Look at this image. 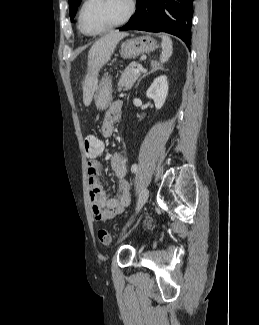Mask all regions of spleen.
I'll return each instance as SVG.
<instances>
[{
  "label": "spleen",
  "mask_w": 259,
  "mask_h": 325,
  "mask_svg": "<svg viewBox=\"0 0 259 325\" xmlns=\"http://www.w3.org/2000/svg\"><path fill=\"white\" fill-rule=\"evenodd\" d=\"M161 39H162L161 42L162 53L160 56V62L165 63L172 55V50H173L172 40L167 35H162Z\"/></svg>",
  "instance_id": "obj_1"
}]
</instances>
